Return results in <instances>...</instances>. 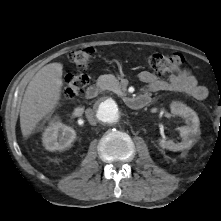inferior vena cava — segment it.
Masks as SVG:
<instances>
[{
	"mask_svg": "<svg viewBox=\"0 0 221 221\" xmlns=\"http://www.w3.org/2000/svg\"><path fill=\"white\" fill-rule=\"evenodd\" d=\"M85 113H86V117H87L89 123L91 125H95L96 124V119H95V115H94L93 110L92 109H87Z\"/></svg>",
	"mask_w": 221,
	"mask_h": 221,
	"instance_id": "1",
	"label": "inferior vena cava"
}]
</instances>
